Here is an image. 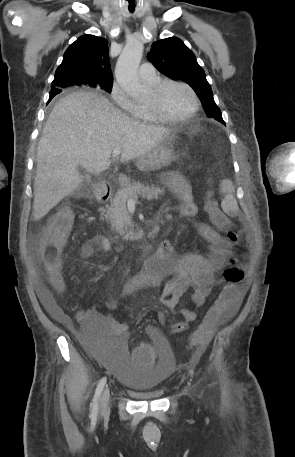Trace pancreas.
<instances>
[{
	"label": "pancreas",
	"instance_id": "pancreas-1",
	"mask_svg": "<svg viewBox=\"0 0 295 457\" xmlns=\"http://www.w3.org/2000/svg\"><path fill=\"white\" fill-rule=\"evenodd\" d=\"M164 190L144 185L141 183H127L115 194L110 207L105 210V218L110 223L111 228L125 239H131L136 236V231L132 218L126 207L129 198L136 200L138 197L148 200L157 199Z\"/></svg>",
	"mask_w": 295,
	"mask_h": 457
}]
</instances>
